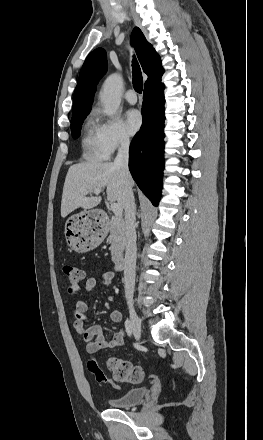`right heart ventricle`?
I'll return each instance as SVG.
<instances>
[{
	"label": "right heart ventricle",
	"mask_w": 263,
	"mask_h": 440,
	"mask_svg": "<svg viewBox=\"0 0 263 440\" xmlns=\"http://www.w3.org/2000/svg\"><path fill=\"white\" fill-rule=\"evenodd\" d=\"M99 125L92 117L88 118L82 138V155L89 161H100L108 158L100 138Z\"/></svg>",
	"instance_id": "right-heart-ventricle-1"
}]
</instances>
